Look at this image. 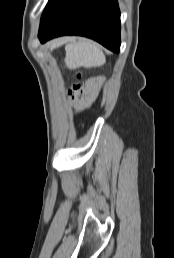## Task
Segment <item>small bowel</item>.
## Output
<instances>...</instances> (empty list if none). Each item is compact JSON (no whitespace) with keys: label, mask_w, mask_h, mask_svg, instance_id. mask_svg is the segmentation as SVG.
Masks as SVG:
<instances>
[{"label":"small bowel","mask_w":174,"mask_h":258,"mask_svg":"<svg viewBox=\"0 0 174 258\" xmlns=\"http://www.w3.org/2000/svg\"><path fill=\"white\" fill-rule=\"evenodd\" d=\"M104 78L99 76L88 81V83L77 92L73 98V105L77 109H82L90 104L92 100L99 101L100 97L96 96L97 91L101 85H104Z\"/></svg>","instance_id":"1"}]
</instances>
